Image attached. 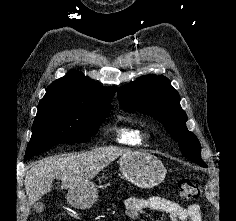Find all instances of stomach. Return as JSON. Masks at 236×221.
<instances>
[{"instance_id":"0dacf381","label":"stomach","mask_w":236,"mask_h":221,"mask_svg":"<svg viewBox=\"0 0 236 221\" xmlns=\"http://www.w3.org/2000/svg\"><path fill=\"white\" fill-rule=\"evenodd\" d=\"M122 175L140 188H153L166 175L162 162L147 152L124 153L119 160ZM98 189L91 181L71 187L67 193L68 202L77 209H86L97 200Z\"/></svg>"}]
</instances>
